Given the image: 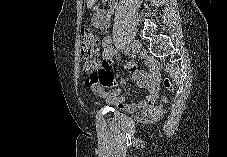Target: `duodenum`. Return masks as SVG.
I'll return each instance as SVG.
<instances>
[{
  "label": "duodenum",
  "instance_id": "duodenum-1",
  "mask_svg": "<svg viewBox=\"0 0 227 157\" xmlns=\"http://www.w3.org/2000/svg\"><path fill=\"white\" fill-rule=\"evenodd\" d=\"M96 24H97V25H100V24H101V21H100V20H97V21H96Z\"/></svg>",
  "mask_w": 227,
  "mask_h": 157
}]
</instances>
